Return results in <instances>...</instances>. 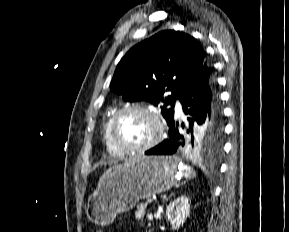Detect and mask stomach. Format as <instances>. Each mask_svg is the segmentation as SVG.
<instances>
[{
	"label": "stomach",
	"instance_id": "stomach-1",
	"mask_svg": "<svg viewBox=\"0 0 289 232\" xmlns=\"http://www.w3.org/2000/svg\"><path fill=\"white\" fill-rule=\"evenodd\" d=\"M177 159L164 156L138 157L111 174L88 199L87 218L101 226L117 214L131 210L139 200L165 192L176 183Z\"/></svg>",
	"mask_w": 289,
	"mask_h": 232
}]
</instances>
